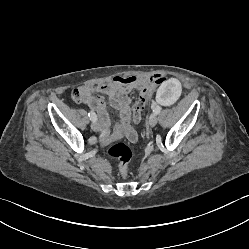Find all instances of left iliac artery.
<instances>
[{
	"mask_svg": "<svg viewBox=\"0 0 249 249\" xmlns=\"http://www.w3.org/2000/svg\"><path fill=\"white\" fill-rule=\"evenodd\" d=\"M153 112L154 114H159L161 112V107L160 106H156L154 109H153Z\"/></svg>",
	"mask_w": 249,
	"mask_h": 249,
	"instance_id": "44dca946",
	"label": "left iliac artery"
}]
</instances>
